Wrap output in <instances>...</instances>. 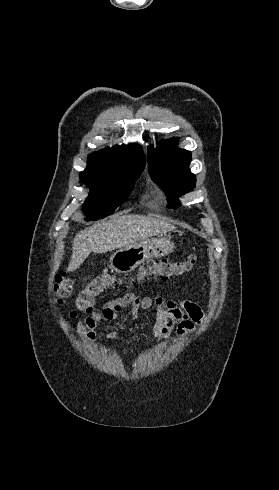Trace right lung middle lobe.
Listing matches in <instances>:
<instances>
[{
    "mask_svg": "<svg viewBox=\"0 0 279 490\" xmlns=\"http://www.w3.org/2000/svg\"><path fill=\"white\" fill-rule=\"evenodd\" d=\"M142 170L127 169L106 178L80 176L81 181L91 189L83 208L86 220H97L112 214L129 196Z\"/></svg>",
    "mask_w": 279,
    "mask_h": 490,
    "instance_id": "right-lung-middle-lobe-1",
    "label": "right lung middle lobe"
}]
</instances>
